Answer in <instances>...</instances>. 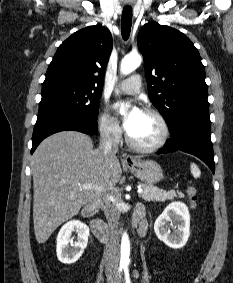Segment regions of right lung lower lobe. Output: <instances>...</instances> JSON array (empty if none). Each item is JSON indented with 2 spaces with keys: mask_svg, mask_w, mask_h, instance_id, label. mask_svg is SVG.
Listing matches in <instances>:
<instances>
[{
  "mask_svg": "<svg viewBox=\"0 0 233 283\" xmlns=\"http://www.w3.org/2000/svg\"><path fill=\"white\" fill-rule=\"evenodd\" d=\"M68 130L94 135L97 132V121L65 112H48L38 115L32 136L31 154L47 136Z\"/></svg>",
  "mask_w": 233,
  "mask_h": 283,
  "instance_id": "1",
  "label": "right lung lower lobe"
}]
</instances>
